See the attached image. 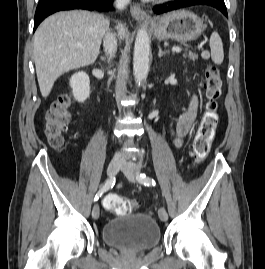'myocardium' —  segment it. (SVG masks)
<instances>
[{"mask_svg": "<svg viewBox=\"0 0 265 269\" xmlns=\"http://www.w3.org/2000/svg\"><path fill=\"white\" fill-rule=\"evenodd\" d=\"M157 1H161L162 2V1H167V0H157Z\"/></svg>", "mask_w": 265, "mask_h": 269, "instance_id": "obj_1", "label": "myocardium"}]
</instances>
